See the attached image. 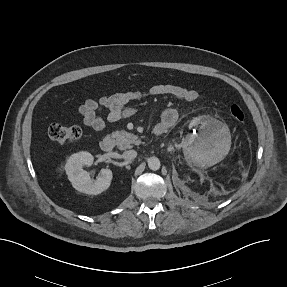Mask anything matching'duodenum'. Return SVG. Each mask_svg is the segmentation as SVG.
<instances>
[{"mask_svg":"<svg viewBox=\"0 0 287 287\" xmlns=\"http://www.w3.org/2000/svg\"><path fill=\"white\" fill-rule=\"evenodd\" d=\"M164 132V128L162 126H158L154 128L155 135H161ZM100 148L104 152H111L114 148V140L111 137H105L100 142Z\"/></svg>","mask_w":287,"mask_h":287,"instance_id":"obj_1","label":"duodenum"}]
</instances>
